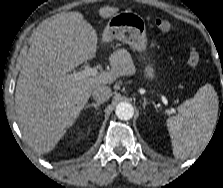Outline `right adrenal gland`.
<instances>
[{
	"mask_svg": "<svg viewBox=\"0 0 223 188\" xmlns=\"http://www.w3.org/2000/svg\"><path fill=\"white\" fill-rule=\"evenodd\" d=\"M102 104V102H96V103H92V104H89L85 107V110L90 108V107H94L96 110H98V106H100Z\"/></svg>",
	"mask_w": 223,
	"mask_h": 188,
	"instance_id": "obj_1",
	"label": "right adrenal gland"
}]
</instances>
